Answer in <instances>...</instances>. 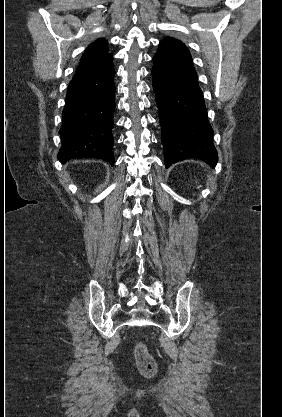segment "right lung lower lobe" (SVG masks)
Masks as SVG:
<instances>
[{
	"mask_svg": "<svg viewBox=\"0 0 282 417\" xmlns=\"http://www.w3.org/2000/svg\"><path fill=\"white\" fill-rule=\"evenodd\" d=\"M113 61L76 72L65 99L58 160L97 158L114 164L112 147L115 108Z\"/></svg>",
	"mask_w": 282,
	"mask_h": 417,
	"instance_id": "1",
	"label": "right lung lower lobe"
}]
</instances>
